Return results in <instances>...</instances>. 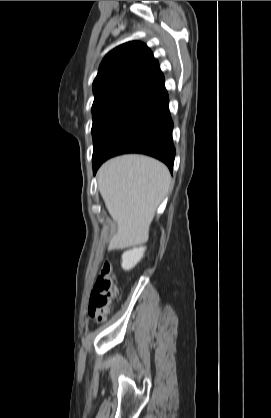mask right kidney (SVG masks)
<instances>
[{
    "mask_svg": "<svg viewBox=\"0 0 271 418\" xmlns=\"http://www.w3.org/2000/svg\"><path fill=\"white\" fill-rule=\"evenodd\" d=\"M145 247L133 248L123 253L122 268L124 270L132 269L143 257Z\"/></svg>",
    "mask_w": 271,
    "mask_h": 418,
    "instance_id": "obj_1",
    "label": "right kidney"
}]
</instances>
